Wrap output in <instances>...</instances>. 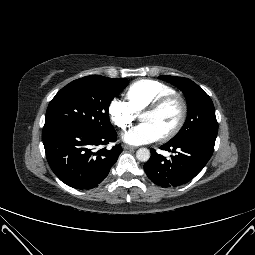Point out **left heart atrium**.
Returning a JSON list of instances; mask_svg holds the SVG:
<instances>
[{"mask_svg": "<svg viewBox=\"0 0 255 255\" xmlns=\"http://www.w3.org/2000/svg\"><path fill=\"white\" fill-rule=\"evenodd\" d=\"M159 133L152 125L146 122L133 127L123 135L124 141L133 145L148 144L157 141Z\"/></svg>", "mask_w": 255, "mask_h": 255, "instance_id": "1", "label": "left heart atrium"}]
</instances>
